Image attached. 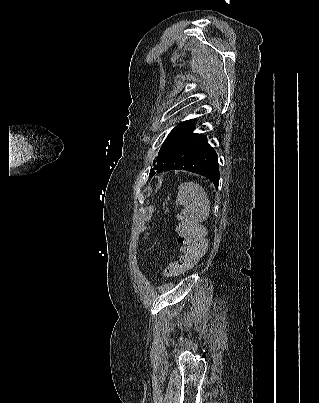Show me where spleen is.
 Segmentation results:
<instances>
[{"instance_id": "3e777b00", "label": "spleen", "mask_w": 319, "mask_h": 403, "mask_svg": "<svg viewBox=\"0 0 319 403\" xmlns=\"http://www.w3.org/2000/svg\"><path fill=\"white\" fill-rule=\"evenodd\" d=\"M177 205H183L182 213L195 222H204L210 213V201L204 188L195 182H185L178 187Z\"/></svg>"}]
</instances>
